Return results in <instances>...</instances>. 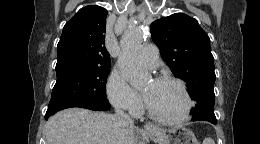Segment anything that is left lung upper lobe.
<instances>
[{
  "mask_svg": "<svg viewBox=\"0 0 260 144\" xmlns=\"http://www.w3.org/2000/svg\"><path fill=\"white\" fill-rule=\"evenodd\" d=\"M151 36L175 77L187 82L189 95L197 102L193 121L213 120L214 58L210 39L198 21L175 13L151 24Z\"/></svg>",
  "mask_w": 260,
  "mask_h": 144,
  "instance_id": "left-lung-upper-lobe-1",
  "label": "left lung upper lobe"
}]
</instances>
